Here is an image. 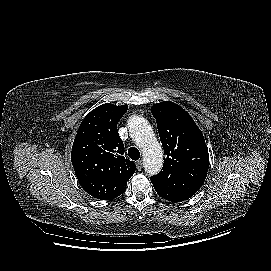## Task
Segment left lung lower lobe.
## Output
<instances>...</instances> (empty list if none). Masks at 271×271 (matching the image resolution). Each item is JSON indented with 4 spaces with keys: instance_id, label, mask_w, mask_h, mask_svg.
Wrapping results in <instances>:
<instances>
[{
    "instance_id": "0a47b994",
    "label": "left lung lower lobe",
    "mask_w": 271,
    "mask_h": 271,
    "mask_svg": "<svg viewBox=\"0 0 271 271\" xmlns=\"http://www.w3.org/2000/svg\"><path fill=\"white\" fill-rule=\"evenodd\" d=\"M162 184H153V186L159 196L171 202L187 200L200 188L198 185L177 174L170 175L163 180Z\"/></svg>"
}]
</instances>
